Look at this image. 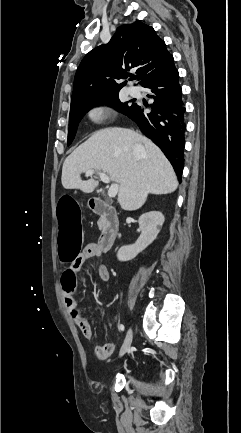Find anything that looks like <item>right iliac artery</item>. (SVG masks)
<instances>
[{
  "instance_id": "right-iliac-artery-1",
  "label": "right iliac artery",
  "mask_w": 241,
  "mask_h": 433,
  "mask_svg": "<svg viewBox=\"0 0 241 433\" xmlns=\"http://www.w3.org/2000/svg\"><path fill=\"white\" fill-rule=\"evenodd\" d=\"M119 329H120L121 331H124V325H123V324H120V325H119Z\"/></svg>"
}]
</instances>
